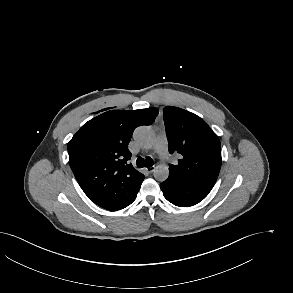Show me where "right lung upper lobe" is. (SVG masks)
I'll return each instance as SVG.
<instances>
[{
  "label": "right lung upper lobe",
  "instance_id": "obj_1",
  "mask_svg": "<svg viewBox=\"0 0 293 293\" xmlns=\"http://www.w3.org/2000/svg\"><path fill=\"white\" fill-rule=\"evenodd\" d=\"M156 108L110 110L87 123L68 143L69 164L84 193L98 206L120 210L130 205L144 175L129 163L134 129L152 124Z\"/></svg>",
  "mask_w": 293,
  "mask_h": 293
}]
</instances>
